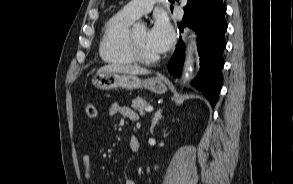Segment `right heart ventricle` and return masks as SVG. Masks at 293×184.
<instances>
[{
	"label": "right heart ventricle",
	"instance_id": "1",
	"mask_svg": "<svg viewBox=\"0 0 293 184\" xmlns=\"http://www.w3.org/2000/svg\"><path fill=\"white\" fill-rule=\"evenodd\" d=\"M135 18L120 11L105 23L99 44V54L103 61L112 64H132L130 51V26Z\"/></svg>",
	"mask_w": 293,
	"mask_h": 184
}]
</instances>
